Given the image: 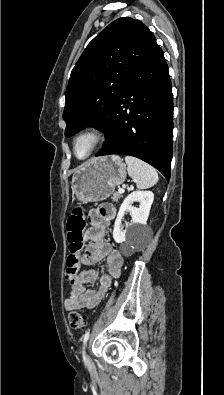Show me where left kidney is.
I'll list each match as a JSON object with an SVG mask.
<instances>
[{
	"instance_id": "1",
	"label": "left kidney",
	"mask_w": 224,
	"mask_h": 395,
	"mask_svg": "<svg viewBox=\"0 0 224 395\" xmlns=\"http://www.w3.org/2000/svg\"><path fill=\"white\" fill-rule=\"evenodd\" d=\"M154 200L152 191H133L123 201L113 229V238L116 243L126 241V236H133L136 239L141 238L145 233V225L149 216L151 205ZM139 202V208L132 206L133 202ZM129 211L132 222L125 229L122 228L121 222L125 212Z\"/></svg>"
}]
</instances>
